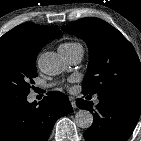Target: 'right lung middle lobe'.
Masks as SVG:
<instances>
[{
	"instance_id": "1",
	"label": "right lung middle lobe",
	"mask_w": 141,
	"mask_h": 141,
	"mask_svg": "<svg viewBox=\"0 0 141 141\" xmlns=\"http://www.w3.org/2000/svg\"><path fill=\"white\" fill-rule=\"evenodd\" d=\"M37 54L19 47L0 49V95H28L37 76Z\"/></svg>"
}]
</instances>
